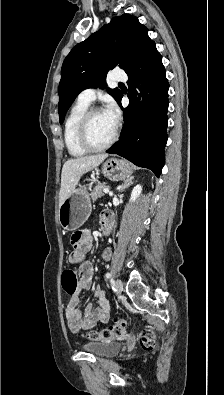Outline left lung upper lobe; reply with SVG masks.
<instances>
[{"mask_svg": "<svg viewBox=\"0 0 224 395\" xmlns=\"http://www.w3.org/2000/svg\"><path fill=\"white\" fill-rule=\"evenodd\" d=\"M151 42L148 29L138 18L123 14L77 44L62 65L58 105L60 123L82 90L104 88L110 69L119 65L127 72ZM108 93L116 101L121 95L117 88L108 89Z\"/></svg>", "mask_w": 224, "mask_h": 395, "instance_id": "left-lung-upper-lobe-1", "label": "left lung upper lobe"}]
</instances>
